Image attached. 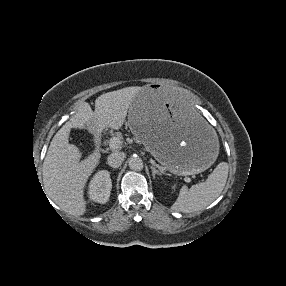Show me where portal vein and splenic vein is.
<instances>
[{
    "mask_svg": "<svg viewBox=\"0 0 286 286\" xmlns=\"http://www.w3.org/2000/svg\"><path fill=\"white\" fill-rule=\"evenodd\" d=\"M120 144H121V141L117 137H114V138L110 139V141H109V146H110L111 149L119 148ZM184 180L187 183L191 182V178H189V177H185Z\"/></svg>",
    "mask_w": 286,
    "mask_h": 286,
    "instance_id": "18ae733b",
    "label": "portal vein and splenic vein"
}]
</instances>
